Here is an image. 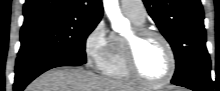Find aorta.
<instances>
[{
	"label": "aorta",
	"mask_w": 220,
	"mask_h": 91,
	"mask_svg": "<svg viewBox=\"0 0 220 91\" xmlns=\"http://www.w3.org/2000/svg\"><path fill=\"white\" fill-rule=\"evenodd\" d=\"M103 5L113 29L117 32H123L126 29L127 21L120 12L118 0H103Z\"/></svg>",
	"instance_id": "obj_1"
}]
</instances>
